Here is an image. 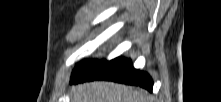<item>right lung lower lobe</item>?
Segmentation results:
<instances>
[{"instance_id":"1","label":"right lung lower lobe","mask_w":221,"mask_h":102,"mask_svg":"<svg viewBox=\"0 0 221 102\" xmlns=\"http://www.w3.org/2000/svg\"><path fill=\"white\" fill-rule=\"evenodd\" d=\"M92 80H110L129 85H138L152 91L153 81L146 73L134 69L129 59L116 58L111 61L92 60L84 68L72 74L71 83Z\"/></svg>"}]
</instances>
